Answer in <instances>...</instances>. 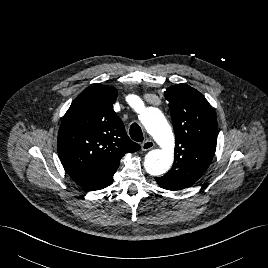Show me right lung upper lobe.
Instances as JSON below:
<instances>
[{"label": "right lung upper lobe", "instance_id": "1", "mask_svg": "<svg viewBox=\"0 0 268 268\" xmlns=\"http://www.w3.org/2000/svg\"><path fill=\"white\" fill-rule=\"evenodd\" d=\"M116 99V88L90 85L73 101L59 128L61 163L76 184L90 191L111 185L120 159L140 149L113 110Z\"/></svg>", "mask_w": 268, "mask_h": 268}]
</instances>
